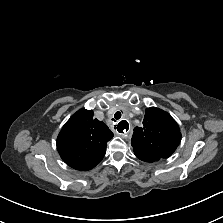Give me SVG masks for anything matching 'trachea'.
Masks as SVG:
<instances>
[{"mask_svg":"<svg viewBox=\"0 0 223 223\" xmlns=\"http://www.w3.org/2000/svg\"><path fill=\"white\" fill-rule=\"evenodd\" d=\"M114 118H115L116 120H119V119L121 118V112L117 111V112L115 113V115H114Z\"/></svg>","mask_w":223,"mask_h":223,"instance_id":"1","label":"trachea"}]
</instances>
